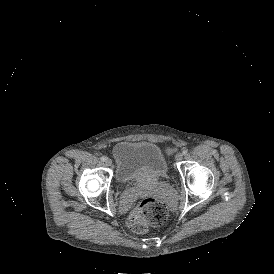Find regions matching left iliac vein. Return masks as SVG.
I'll use <instances>...</instances> for the list:
<instances>
[{"mask_svg": "<svg viewBox=\"0 0 274 274\" xmlns=\"http://www.w3.org/2000/svg\"><path fill=\"white\" fill-rule=\"evenodd\" d=\"M183 159V154L182 153H177L175 156V161L180 162Z\"/></svg>", "mask_w": 274, "mask_h": 274, "instance_id": "4c4485c4", "label": "left iliac vein"}]
</instances>
